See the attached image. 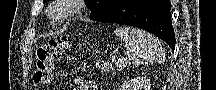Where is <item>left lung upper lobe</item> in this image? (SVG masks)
I'll use <instances>...</instances> for the list:
<instances>
[{
  "label": "left lung upper lobe",
  "instance_id": "1",
  "mask_svg": "<svg viewBox=\"0 0 216 90\" xmlns=\"http://www.w3.org/2000/svg\"><path fill=\"white\" fill-rule=\"evenodd\" d=\"M48 0H44L46 3ZM88 4V8L91 10L90 19H94L99 14L114 8L120 4L123 0H85Z\"/></svg>",
  "mask_w": 216,
  "mask_h": 90
}]
</instances>
